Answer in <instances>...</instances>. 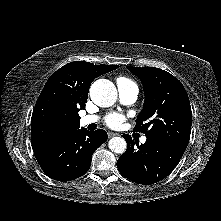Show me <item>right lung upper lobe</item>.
<instances>
[{
    "mask_svg": "<svg viewBox=\"0 0 221 221\" xmlns=\"http://www.w3.org/2000/svg\"><path fill=\"white\" fill-rule=\"evenodd\" d=\"M118 67L75 61L53 73L38 97L32 114L33 151L47 147L79 129L78 112L85 108L92 81Z\"/></svg>",
    "mask_w": 221,
    "mask_h": 221,
    "instance_id": "cb5924a9",
    "label": "right lung upper lobe"
}]
</instances>
